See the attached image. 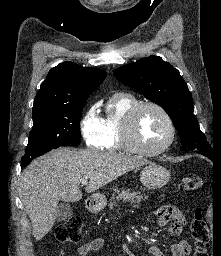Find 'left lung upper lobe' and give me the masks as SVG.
<instances>
[{"mask_svg": "<svg viewBox=\"0 0 221 256\" xmlns=\"http://www.w3.org/2000/svg\"><path fill=\"white\" fill-rule=\"evenodd\" d=\"M113 73L120 82L134 87L167 112L183 147L204 156L214 155L193 114L191 93L177 69L161 57L149 56L121 66Z\"/></svg>", "mask_w": 221, "mask_h": 256, "instance_id": "5c2ea615", "label": "left lung upper lobe"}]
</instances>
